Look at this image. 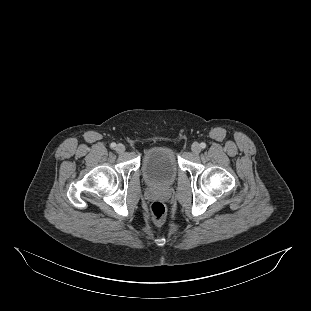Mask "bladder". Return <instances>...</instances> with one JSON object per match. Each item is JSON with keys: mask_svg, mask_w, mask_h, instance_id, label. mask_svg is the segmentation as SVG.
<instances>
[{"mask_svg": "<svg viewBox=\"0 0 311 311\" xmlns=\"http://www.w3.org/2000/svg\"><path fill=\"white\" fill-rule=\"evenodd\" d=\"M142 171L151 186L166 187L173 184L179 171L174 147L161 144L150 148L143 158Z\"/></svg>", "mask_w": 311, "mask_h": 311, "instance_id": "31cf9c89", "label": "bladder"}]
</instances>
